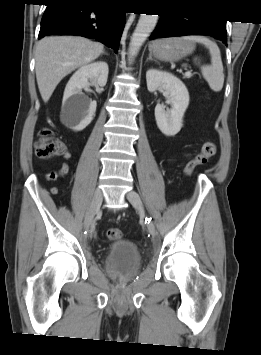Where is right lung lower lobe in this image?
<instances>
[{
    "instance_id": "obj_1",
    "label": "right lung lower lobe",
    "mask_w": 261,
    "mask_h": 355,
    "mask_svg": "<svg viewBox=\"0 0 261 355\" xmlns=\"http://www.w3.org/2000/svg\"><path fill=\"white\" fill-rule=\"evenodd\" d=\"M39 38L47 35H79L108 44L117 53L125 24V12L103 8L106 3L88 0H47ZM102 7V8H95Z\"/></svg>"
}]
</instances>
